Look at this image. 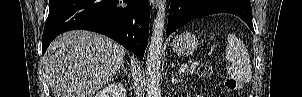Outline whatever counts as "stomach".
Masks as SVG:
<instances>
[{
	"label": "stomach",
	"instance_id": "stomach-1",
	"mask_svg": "<svg viewBox=\"0 0 302 97\" xmlns=\"http://www.w3.org/2000/svg\"><path fill=\"white\" fill-rule=\"evenodd\" d=\"M198 45L199 41L195 34L184 32L172 39L171 49L176 55L187 57L195 53Z\"/></svg>",
	"mask_w": 302,
	"mask_h": 97
}]
</instances>
